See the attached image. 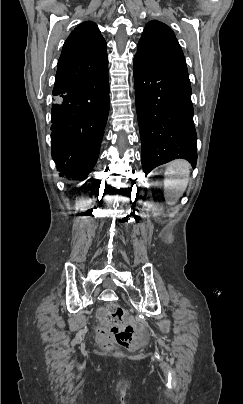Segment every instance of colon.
Returning <instances> with one entry per match:
<instances>
[{"instance_id":"obj_1","label":"colon","mask_w":243,"mask_h":404,"mask_svg":"<svg viewBox=\"0 0 243 404\" xmlns=\"http://www.w3.org/2000/svg\"><path fill=\"white\" fill-rule=\"evenodd\" d=\"M109 321L117 325L127 316L126 311L117 304H110L106 309ZM102 346L110 349L114 346H121L127 349H137L143 344L140 332L133 326L113 327L111 329L101 327L98 330Z\"/></svg>"}]
</instances>
